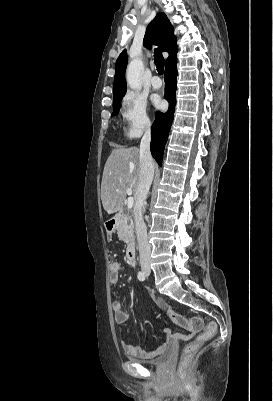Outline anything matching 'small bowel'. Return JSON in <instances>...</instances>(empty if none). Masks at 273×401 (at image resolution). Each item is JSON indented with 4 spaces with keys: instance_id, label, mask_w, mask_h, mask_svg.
<instances>
[{
    "instance_id": "small-bowel-1",
    "label": "small bowel",
    "mask_w": 273,
    "mask_h": 401,
    "mask_svg": "<svg viewBox=\"0 0 273 401\" xmlns=\"http://www.w3.org/2000/svg\"><path fill=\"white\" fill-rule=\"evenodd\" d=\"M110 274H109V280L111 284L116 285L119 281L120 277V272L122 270V265L118 261H113L110 263L109 266ZM147 294H155V292L151 289L149 291H146ZM157 299L160 300L162 299L158 295H156ZM112 309H113V314H114V321L117 324H125L129 321L130 319V313L127 310V308L124 306V304L120 301H114L112 303ZM172 321H187L188 319L181 316L178 319H171ZM164 334L166 336V340L156 349L154 352H146L143 351L137 347H134L128 343H122V349L125 353L137 356H154L158 353H161L165 350H167L171 345H172V340L175 337L172 331L169 328H164Z\"/></svg>"
}]
</instances>
